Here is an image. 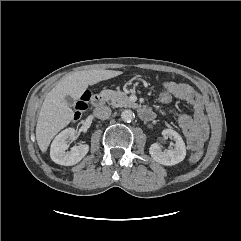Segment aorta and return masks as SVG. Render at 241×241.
<instances>
[{"instance_id": "obj_1", "label": "aorta", "mask_w": 241, "mask_h": 241, "mask_svg": "<svg viewBox=\"0 0 241 241\" xmlns=\"http://www.w3.org/2000/svg\"><path fill=\"white\" fill-rule=\"evenodd\" d=\"M135 115L132 110H124L121 113V119L125 122H131L134 119Z\"/></svg>"}]
</instances>
